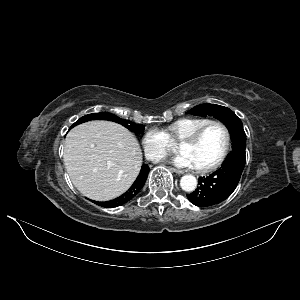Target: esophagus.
Returning a JSON list of instances; mask_svg holds the SVG:
<instances>
[{
    "instance_id": "1",
    "label": "esophagus",
    "mask_w": 300,
    "mask_h": 300,
    "mask_svg": "<svg viewBox=\"0 0 300 300\" xmlns=\"http://www.w3.org/2000/svg\"><path fill=\"white\" fill-rule=\"evenodd\" d=\"M170 170H171L172 172L177 173V174H183V173H184L182 170H179V169H176V168H170Z\"/></svg>"
}]
</instances>
